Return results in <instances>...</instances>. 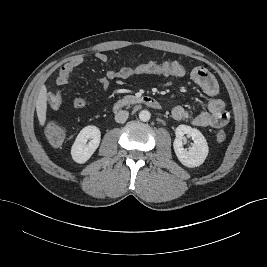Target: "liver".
<instances>
[{
	"instance_id": "1",
	"label": "liver",
	"mask_w": 267,
	"mask_h": 267,
	"mask_svg": "<svg viewBox=\"0 0 267 267\" xmlns=\"http://www.w3.org/2000/svg\"><path fill=\"white\" fill-rule=\"evenodd\" d=\"M47 100V88L45 86H42L36 102L37 116L41 126H44L46 122Z\"/></svg>"
}]
</instances>
